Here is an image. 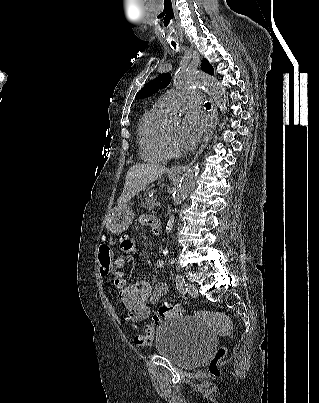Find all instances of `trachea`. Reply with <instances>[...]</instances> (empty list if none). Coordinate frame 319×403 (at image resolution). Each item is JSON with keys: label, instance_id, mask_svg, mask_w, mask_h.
<instances>
[{"label": "trachea", "instance_id": "obj_1", "mask_svg": "<svg viewBox=\"0 0 319 403\" xmlns=\"http://www.w3.org/2000/svg\"><path fill=\"white\" fill-rule=\"evenodd\" d=\"M168 24H169V21H168V22L165 21V27H167ZM171 44H172V46H173L174 48H176V42H175V41L172 40V41H171ZM205 107H206L207 109H210V108H211V104H210L209 102H207V103L205 104Z\"/></svg>", "mask_w": 319, "mask_h": 403}]
</instances>
